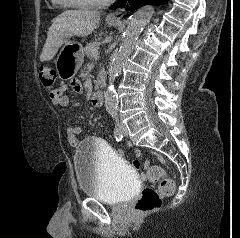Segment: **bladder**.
I'll return each mask as SVG.
<instances>
[{
    "label": "bladder",
    "mask_w": 240,
    "mask_h": 238,
    "mask_svg": "<svg viewBox=\"0 0 240 238\" xmlns=\"http://www.w3.org/2000/svg\"><path fill=\"white\" fill-rule=\"evenodd\" d=\"M73 164L80 190L103 203H124L138 188L133 168L100 139L87 138L80 142L74 152Z\"/></svg>",
    "instance_id": "1"
}]
</instances>
